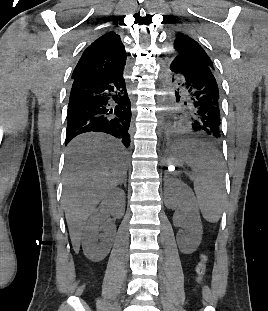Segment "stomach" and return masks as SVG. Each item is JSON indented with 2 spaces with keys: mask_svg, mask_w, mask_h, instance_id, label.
<instances>
[{
  "mask_svg": "<svg viewBox=\"0 0 268 311\" xmlns=\"http://www.w3.org/2000/svg\"><path fill=\"white\" fill-rule=\"evenodd\" d=\"M188 146L183 145L173 150L170 158L168 159V165H173L175 167L183 166L185 158H188Z\"/></svg>",
  "mask_w": 268,
  "mask_h": 311,
  "instance_id": "obj_1",
  "label": "stomach"
}]
</instances>
